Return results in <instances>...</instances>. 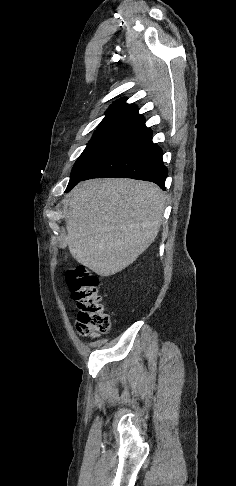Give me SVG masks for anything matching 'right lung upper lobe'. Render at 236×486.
<instances>
[{
  "label": "right lung upper lobe",
  "mask_w": 236,
  "mask_h": 486,
  "mask_svg": "<svg viewBox=\"0 0 236 486\" xmlns=\"http://www.w3.org/2000/svg\"><path fill=\"white\" fill-rule=\"evenodd\" d=\"M144 121V117L138 113L137 106L127 104L126 98H121L109 107L98 129L124 125L141 126Z\"/></svg>",
  "instance_id": "1"
}]
</instances>
